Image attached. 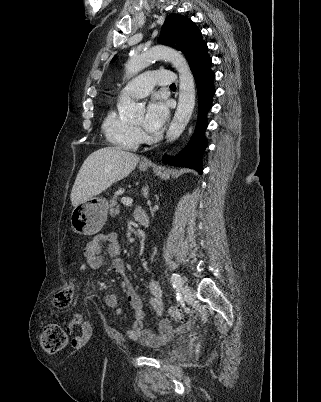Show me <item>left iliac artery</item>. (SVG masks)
<instances>
[{"mask_svg":"<svg viewBox=\"0 0 321 402\" xmlns=\"http://www.w3.org/2000/svg\"><path fill=\"white\" fill-rule=\"evenodd\" d=\"M171 282L175 289L180 290L182 288L183 281L179 274L173 273L171 276Z\"/></svg>","mask_w":321,"mask_h":402,"instance_id":"left-iliac-artery-1","label":"left iliac artery"}]
</instances>
